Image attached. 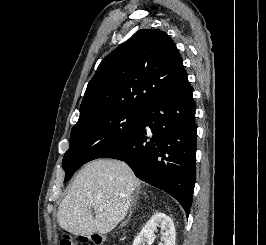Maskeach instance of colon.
Here are the masks:
<instances>
[{
	"mask_svg": "<svg viewBox=\"0 0 266 245\" xmlns=\"http://www.w3.org/2000/svg\"><path fill=\"white\" fill-rule=\"evenodd\" d=\"M91 242L94 245H99L102 241L101 237L99 235L93 236L90 240H88L86 237H79L76 240H73L72 238L65 236L61 238L59 245H78V244H86L87 242Z\"/></svg>",
	"mask_w": 266,
	"mask_h": 245,
	"instance_id": "5ec220e1",
	"label": "colon"
}]
</instances>
